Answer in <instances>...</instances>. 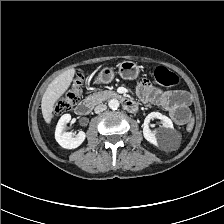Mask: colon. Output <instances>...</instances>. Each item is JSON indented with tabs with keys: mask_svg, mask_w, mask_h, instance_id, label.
<instances>
[{
	"mask_svg": "<svg viewBox=\"0 0 224 224\" xmlns=\"http://www.w3.org/2000/svg\"><path fill=\"white\" fill-rule=\"evenodd\" d=\"M155 80L163 86H175L179 82L178 76L163 66H158L154 72ZM82 81L77 79L72 87L61 97L55 104L54 113L62 114L70 110L78 101ZM179 118H186L188 121L187 130L192 129V122L190 121V114L188 110H184Z\"/></svg>",
	"mask_w": 224,
	"mask_h": 224,
	"instance_id": "5ec220e1",
	"label": "colon"
}]
</instances>
